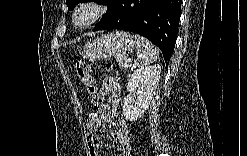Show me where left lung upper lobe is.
I'll return each mask as SVG.
<instances>
[{
    "label": "left lung upper lobe",
    "mask_w": 247,
    "mask_h": 156,
    "mask_svg": "<svg viewBox=\"0 0 247 156\" xmlns=\"http://www.w3.org/2000/svg\"><path fill=\"white\" fill-rule=\"evenodd\" d=\"M80 2H82V0H67L66 4H67L69 10H73L75 5H77ZM116 2H117V0H107V1H105V3H106L108 8H107V12L104 15V17L108 14V12L112 9V7L115 5Z\"/></svg>",
    "instance_id": "1"
}]
</instances>
